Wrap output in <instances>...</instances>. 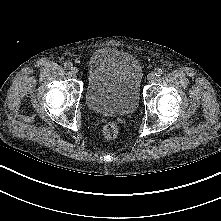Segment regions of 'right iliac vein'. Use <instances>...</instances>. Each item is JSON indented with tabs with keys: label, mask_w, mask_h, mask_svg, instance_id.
I'll list each match as a JSON object with an SVG mask.
<instances>
[{
	"label": "right iliac vein",
	"mask_w": 221,
	"mask_h": 221,
	"mask_svg": "<svg viewBox=\"0 0 221 221\" xmlns=\"http://www.w3.org/2000/svg\"><path fill=\"white\" fill-rule=\"evenodd\" d=\"M70 71H71V73H72L73 75H76V74L78 73V68H77V67H72V68L70 69Z\"/></svg>",
	"instance_id": "right-iliac-vein-1"
}]
</instances>
